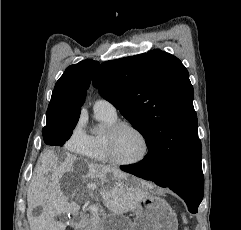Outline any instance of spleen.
<instances>
[{
    "label": "spleen",
    "mask_w": 241,
    "mask_h": 230,
    "mask_svg": "<svg viewBox=\"0 0 241 230\" xmlns=\"http://www.w3.org/2000/svg\"><path fill=\"white\" fill-rule=\"evenodd\" d=\"M183 220H184V222H187V220H186L185 216H183ZM185 230H187V229H185Z\"/></svg>",
    "instance_id": "3e777b00"
}]
</instances>
